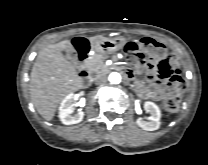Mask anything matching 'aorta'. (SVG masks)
Masks as SVG:
<instances>
[{
	"label": "aorta",
	"mask_w": 208,
	"mask_h": 165,
	"mask_svg": "<svg viewBox=\"0 0 208 165\" xmlns=\"http://www.w3.org/2000/svg\"><path fill=\"white\" fill-rule=\"evenodd\" d=\"M108 79L111 84H119L121 82V75L117 72H112Z\"/></svg>",
	"instance_id": "762f6f07"
}]
</instances>
